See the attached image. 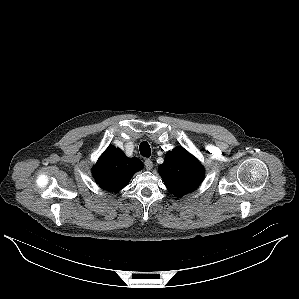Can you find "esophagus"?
<instances>
[{"label": "esophagus", "instance_id": "1", "mask_svg": "<svg viewBox=\"0 0 299 299\" xmlns=\"http://www.w3.org/2000/svg\"><path fill=\"white\" fill-rule=\"evenodd\" d=\"M144 165L147 170H151L153 168V162L150 159H146L144 161Z\"/></svg>", "mask_w": 299, "mask_h": 299}]
</instances>
